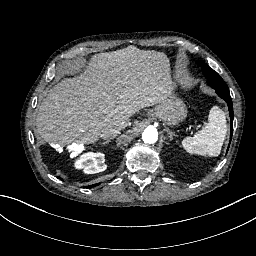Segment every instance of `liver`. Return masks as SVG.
Listing matches in <instances>:
<instances>
[{
    "mask_svg": "<svg viewBox=\"0 0 256 256\" xmlns=\"http://www.w3.org/2000/svg\"><path fill=\"white\" fill-rule=\"evenodd\" d=\"M168 57L135 46L95 54L84 70L49 90L36 117L39 135L59 145L91 144L124 129L139 110L173 90Z\"/></svg>",
    "mask_w": 256,
    "mask_h": 256,
    "instance_id": "liver-1",
    "label": "liver"
}]
</instances>
